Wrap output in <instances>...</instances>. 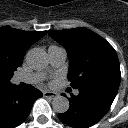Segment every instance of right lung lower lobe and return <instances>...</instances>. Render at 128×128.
Returning <instances> with one entry per match:
<instances>
[{
  "label": "right lung lower lobe",
  "mask_w": 128,
  "mask_h": 128,
  "mask_svg": "<svg viewBox=\"0 0 128 128\" xmlns=\"http://www.w3.org/2000/svg\"><path fill=\"white\" fill-rule=\"evenodd\" d=\"M41 96L42 92L31 85L22 90L10 82L0 85V128H15L23 123Z\"/></svg>",
  "instance_id": "98d812e1"
}]
</instances>
